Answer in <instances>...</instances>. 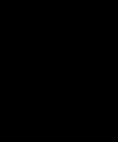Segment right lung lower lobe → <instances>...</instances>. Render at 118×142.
<instances>
[{
    "label": "right lung lower lobe",
    "mask_w": 118,
    "mask_h": 142,
    "mask_svg": "<svg viewBox=\"0 0 118 142\" xmlns=\"http://www.w3.org/2000/svg\"><path fill=\"white\" fill-rule=\"evenodd\" d=\"M35 113H31L29 116L24 118L22 121L19 122V124L15 125V130H6V127L4 128V131L8 132L9 134H24L34 123L35 121ZM2 130V129H1ZM3 131V130H2ZM9 134H6L7 136ZM7 142H19V141H13V140H7Z\"/></svg>",
    "instance_id": "1"
}]
</instances>
